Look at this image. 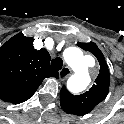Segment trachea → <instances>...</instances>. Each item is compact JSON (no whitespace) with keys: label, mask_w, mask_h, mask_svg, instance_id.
I'll return each mask as SVG.
<instances>
[{"label":"trachea","mask_w":124,"mask_h":124,"mask_svg":"<svg viewBox=\"0 0 124 124\" xmlns=\"http://www.w3.org/2000/svg\"><path fill=\"white\" fill-rule=\"evenodd\" d=\"M51 66L55 70H60L63 66V60L60 57H57L51 61Z\"/></svg>","instance_id":"trachea-1"}]
</instances>
